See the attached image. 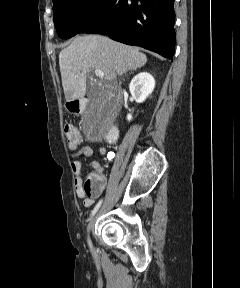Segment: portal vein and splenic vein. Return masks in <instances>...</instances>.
Segmentation results:
<instances>
[{"label": "portal vein and splenic vein", "mask_w": 240, "mask_h": 288, "mask_svg": "<svg viewBox=\"0 0 240 288\" xmlns=\"http://www.w3.org/2000/svg\"><path fill=\"white\" fill-rule=\"evenodd\" d=\"M95 74L97 77L103 78L104 77V73L101 70L95 69L94 70Z\"/></svg>", "instance_id": "1"}]
</instances>
